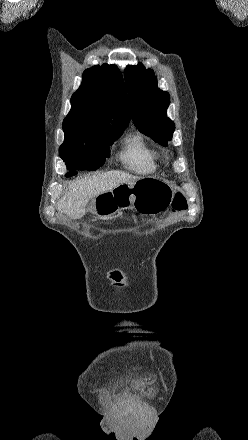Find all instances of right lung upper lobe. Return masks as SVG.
<instances>
[{"label":"right lung upper lobe","instance_id":"obj_1","mask_svg":"<svg viewBox=\"0 0 248 440\" xmlns=\"http://www.w3.org/2000/svg\"><path fill=\"white\" fill-rule=\"evenodd\" d=\"M64 119L66 148L94 134L124 130L131 119L123 77L115 65L93 66L83 73L80 88L71 97Z\"/></svg>","mask_w":248,"mask_h":440}]
</instances>
